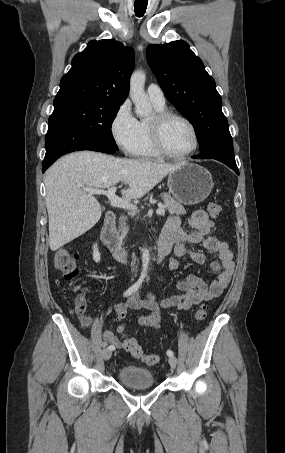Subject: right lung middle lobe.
<instances>
[{
  "label": "right lung middle lobe",
  "instance_id": "dd1d6c3e",
  "mask_svg": "<svg viewBox=\"0 0 285 453\" xmlns=\"http://www.w3.org/2000/svg\"><path fill=\"white\" fill-rule=\"evenodd\" d=\"M122 102L105 98L54 100L52 117L69 122L103 147L118 151L111 125Z\"/></svg>",
  "mask_w": 285,
  "mask_h": 453
}]
</instances>
